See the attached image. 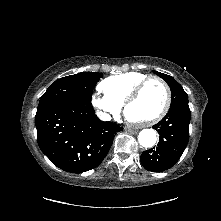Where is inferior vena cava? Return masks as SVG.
Returning <instances> with one entry per match:
<instances>
[{
    "label": "inferior vena cava",
    "instance_id": "inferior-vena-cava-1",
    "mask_svg": "<svg viewBox=\"0 0 221 221\" xmlns=\"http://www.w3.org/2000/svg\"><path fill=\"white\" fill-rule=\"evenodd\" d=\"M97 115L103 121H110L111 120V116L105 112L100 111L97 113Z\"/></svg>",
    "mask_w": 221,
    "mask_h": 221
}]
</instances>
